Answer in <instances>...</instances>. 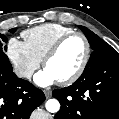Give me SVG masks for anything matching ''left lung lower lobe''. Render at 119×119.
<instances>
[{"label":"left lung lower lobe","mask_w":119,"mask_h":119,"mask_svg":"<svg viewBox=\"0 0 119 119\" xmlns=\"http://www.w3.org/2000/svg\"><path fill=\"white\" fill-rule=\"evenodd\" d=\"M52 94L61 104L55 119H119V54L94 63Z\"/></svg>","instance_id":"1"}]
</instances>
